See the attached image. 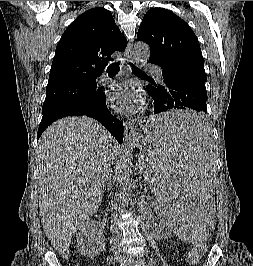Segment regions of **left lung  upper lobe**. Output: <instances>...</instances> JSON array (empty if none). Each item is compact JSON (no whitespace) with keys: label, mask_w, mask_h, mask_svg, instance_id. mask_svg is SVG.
<instances>
[{"label":"left lung upper lobe","mask_w":253,"mask_h":266,"mask_svg":"<svg viewBox=\"0 0 253 266\" xmlns=\"http://www.w3.org/2000/svg\"><path fill=\"white\" fill-rule=\"evenodd\" d=\"M137 39L150 46L149 60L183 63L204 72L196 35L184 20L166 9L153 8L144 15Z\"/></svg>","instance_id":"1"}]
</instances>
